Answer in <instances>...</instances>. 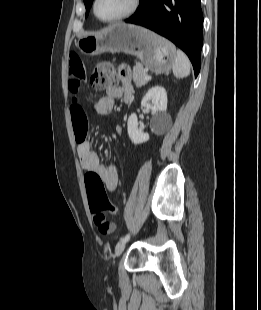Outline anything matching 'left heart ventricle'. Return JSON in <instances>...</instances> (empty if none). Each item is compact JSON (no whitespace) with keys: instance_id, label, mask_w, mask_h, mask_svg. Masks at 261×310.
I'll return each mask as SVG.
<instances>
[{"instance_id":"left-heart-ventricle-1","label":"left heart ventricle","mask_w":261,"mask_h":310,"mask_svg":"<svg viewBox=\"0 0 261 310\" xmlns=\"http://www.w3.org/2000/svg\"><path fill=\"white\" fill-rule=\"evenodd\" d=\"M131 0H98L97 12L104 19L117 17L126 12Z\"/></svg>"}]
</instances>
